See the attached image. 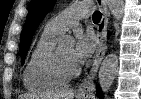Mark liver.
<instances>
[{
	"instance_id": "1",
	"label": "liver",
	"mask_w": 141,
	"mask_h": 99,
	"mask_svg": "<svg viewBox=\"0 0 141 99\" xmlns=\"http://www.w3.org/2000/svg\"><path fill=\"white\" fill-rule=\"evenodd\" d=\"M74 99L73 90H60L44 94H23L18 99Z\"/></svg>"
}]
</instances>
